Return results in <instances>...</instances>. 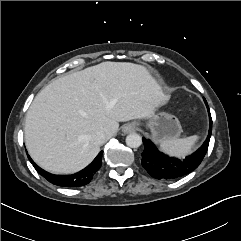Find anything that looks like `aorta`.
I'll return each instance as SVG.
<instances>
[{"mask_svg": "<svg viewBox=\"0 0 241 241\" xmlns=\"http://www.w3.org/2000/svg\"><path fill=\"white\" fill-rule=\"evenodd\" d=\"M142 144V137L137 133H131L126 137V145L130 148H138Z\"/></svg>", "mask_w": 241, "mask_h": 241, "instance_id": "762f6f07", "label": "aorta"}]
</instances>
